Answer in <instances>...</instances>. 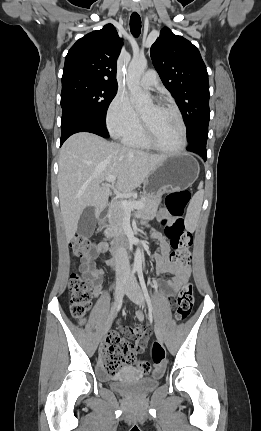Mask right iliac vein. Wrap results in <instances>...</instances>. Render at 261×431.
Segmentation results:
<instances>
[{"label":"right iliac vein","instance_id":"obj_1","mask_svg":"<svg viewBox=\"0 0 261 431\" xmlns=\"http://www.w3.org/2000/svg\"><path fill=\"white\" fill-rule=\"evenodd\" d=\"M124 279H125L124 277H120L117 280L116 289H115V301H114V304H113V307H112L111 314H110V316H109V318H108V320L106 322V325H105L104 335L111 328V325H112L114 316L116 314L117 308L120 305V302L122 300V291H123Z\"/></svg>","mask_w":261,"mask_h":431}]
</instances>
